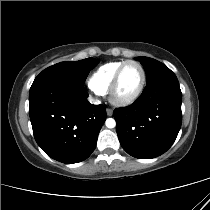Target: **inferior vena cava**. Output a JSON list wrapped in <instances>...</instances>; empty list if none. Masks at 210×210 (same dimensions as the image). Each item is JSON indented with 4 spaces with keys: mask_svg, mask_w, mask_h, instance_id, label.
<instances>
[{
    "mask_svg": "<svg viewBox=\"0 0 210 210\" xmlns=\"http://www.w3.org/2000/svg\"><path fill=\"white\" fill-rule=\"evenodd\" d=\"M89 102L92 103V104H99V103H100L99 100L94 99V98H92V97L89 98Z\"/></svg>",
    "mask_w": 210,
    "mask_h": 210,
    "instance_id": "obj_1",
    "label": "inferior vena cava"
}]
</instances>
